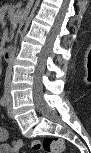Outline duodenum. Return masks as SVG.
I'll return each mask as SVG.
<instances>
[{"label":"duodenum","instance_id":"410a0bca","mask_svg":"<svg viewBox=\"0 0 91 153\" xmlns=\"http://www.w3.org/2000/svg\"><path fill=\"white\" fill-rule=\"evenodd\" d=\"M14 48L12 46H7L3 52V60L5 63H10L13 59Z\"/></svg>","mask_w":91,"mask_h":153}]
</instances>
